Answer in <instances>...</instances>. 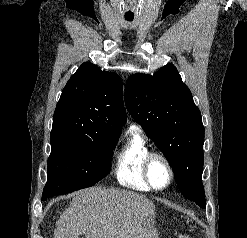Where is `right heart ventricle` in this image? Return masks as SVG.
<instances>
[{
  "instance_id": "right-heart-ventricle-1",
  "label": "right heart ventricle",
  "mask_w": 247,
  "mask_h": 238,
  "mask_svg": "<svg viewBox=\"0 0 247 238\" xmlns=\"http://www.w3.org/2000/svg\"><path fill=\"white\" fill-rule=\"evenodd\" d=\"M150 152L139 129L132 127L116 158L115 175L121 185L144 191L151 189L142 172L144 160Z\"/></svg>"
}]
</instances>
